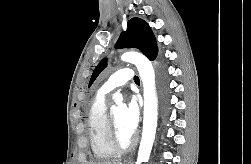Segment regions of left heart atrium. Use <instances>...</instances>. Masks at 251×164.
<instances>
[{"label": "left heart atrium", "mask_w": 251, "mask_h": 164, "mask_svg": "<svg viewBox=\"0 0 251 164\" xmlns=\"http://www.w3.org/2000/svg\"><path fill=\"white\" fill-rule=\"evenodd\" d=\"M140 120V105L136 97H131L124 111V125L130 134H133Z\"/></svg>", "instance_id": "left-heart-atrium-1"}]
</instances>
